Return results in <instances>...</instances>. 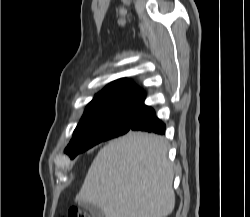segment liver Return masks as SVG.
Returning <instances> with one entry per match:
<instances>
[{
  "mask_svg": "<svg viewBox=\"0 0 250 217\" xmlns=\"http://www.w3.org/2000/svg\"><path fill=\"white\" fill-rule=\"evenodd\" d=\"M162 137L130 132L93 160L76 201L105 217H166L174 209L173 169Z\"/></svg>",
  "mask_w": 250,
  "mask_h": 217,
  "instance_id": "1",
  "label": "liver"
}]
</instances>
